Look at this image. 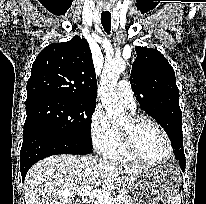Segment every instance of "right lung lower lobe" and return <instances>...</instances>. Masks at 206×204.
I'll list each match as a JSON object with an SVG mask.
<instances>
[{
  "label": "right lung lower lobe",
  "mask_w": 206,
  "mask_h": 204,
  "mask_svg": "<svg viewBox=\"0 0 206 204\" xmlns=\"http://www.w3.org/2000/svg\"><path fill=\"white\" fill-rule=\"evenodd\" d=\"M92 149L50 132L38 131L23 138L20 151L22 181L29 168L39 160L56 154H89Z\"/></svg>",
  "instance_id": "obj_1"
}]
</instances>
